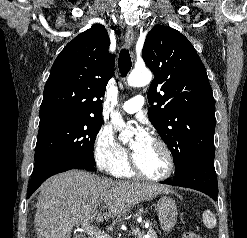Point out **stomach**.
I'll return each instance as SVG.
<instances>
[{
	"mask_svg": "<svg viewBox=\"0 0 247 238\" xmlns=\"http://www.w3.org/2000/svg\"><path fill=\"white\" fill-rule=\"evenodd\" d=\"M156 209L161 228L164 232H169L177 221V206L175 200L168 196H162L157 201Z\"/></svg>",
	"mask_w": 247,
	"mask_h": 238,
	"instance_id": "stomach-1",
	"label": "stomach"
}]
</instances>
